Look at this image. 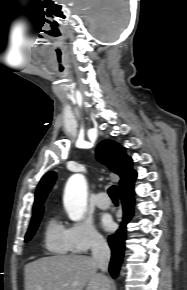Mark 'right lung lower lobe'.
<instances>
[{"mask_svg":"<svg viewBox=\"0 0 187 290\" xmlns=\"http://www.w3.org/2000/svg\"><path fill=\"white\" fill-rule=\"evenodd\" d=\"M123 205V221L120 229L115 234L108 237V243L112 250V257L109 265V272L113 278L118 276V271L122 263L124 243L126 237V225L133 215L134 198L132 195H120Z\"/></svg>","mask_w":187,"mask_h":290,"instance_id":"right-lung-lower-lobe-1","label":"right lung lower lobe"}]
</instances>
